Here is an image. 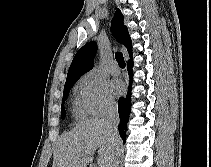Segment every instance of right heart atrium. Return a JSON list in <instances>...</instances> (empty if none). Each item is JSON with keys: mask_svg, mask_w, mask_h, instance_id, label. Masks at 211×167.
I'll use <instances>...</instances> for the list:
<instances>
[{"mask_svg": "<svg viewBox=\"0 0 211 167\" xmlns=\"http://www.w3.org/2000/svg\"><path fill=\"white\" fill-rule=\"evenodd\" d=\"M78 106L88 116L100 117L111 113L115 102L109 95L105 81L94 71L82 75L77 83Z\"/></svg>", "mask_w": 211, "mask_h": 167, "instance_id": "d8ad5b80", "label": "right heart atrium"}]
</instances>
